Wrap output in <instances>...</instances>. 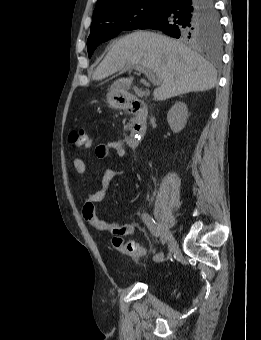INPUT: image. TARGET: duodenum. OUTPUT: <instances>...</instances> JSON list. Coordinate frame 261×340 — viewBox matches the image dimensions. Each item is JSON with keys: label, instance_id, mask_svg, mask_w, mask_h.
<instances>
[{"label": "duodenum", "instance_id": "1", "mask_svg": "<svg viewBox=\"0 0 261 340\" xmlns=\"http://www.w3.org/2000/svg\"><path fill=\"white\" fill-rule=\"evenodd\" d=\"M127 111L133 115L127 143L130 147L135 148L146 132L147 107L142 100L135 98L128 102Z\"/></svg>", "mask_w": 261, "mask_h": 340}]
</instances>
